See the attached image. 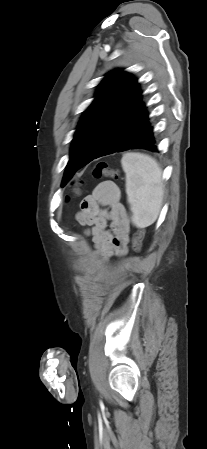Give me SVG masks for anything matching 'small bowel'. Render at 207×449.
I'll return each instance as SVG.
<instances>
[{"label": "small bowel", "instance_id": "1", "mask_svg": "<svg viewBox=\"0 0 207 449\" xmlns=\"http://www.w3.org/2000/svg\"><path fill=\"white\" fill-rule=\"evenodd\" d=\"M76 218L87 227L84 235L90 237L94 245L91 267L100 268L113 256L127 254L130 226L120 201V191L113 182L100 183L92 194L86 196ZM77 269L89 270L85 266Z\"/></svg>", "mask_w": 207, "mask_h": 449}]
</instances>
